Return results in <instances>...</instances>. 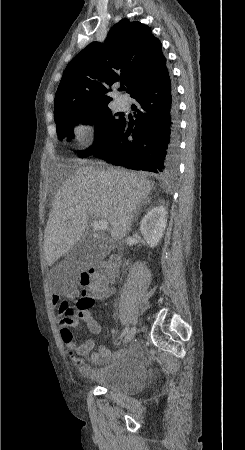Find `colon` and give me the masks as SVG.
<instances>
[{"label":"colon","mask_w":245,"mask_h":450,"mask_svg":"<svg viewBox=\"0 0 245 450\" xmlns=\"http://www.w3.org/2000/svg\"><path fill=\"white\" fill-rule=\"evenodd\" d=\"M118 261L115 257L109 261H98L90 268L83 270L78 278L79 286L83 297L78 302V310H87L92 307V300L89 297L94 287L105 288L116 278ZM74 304L69 300H64L59 308V326L62 337L65 340L72 339V326L76 323L79 315Z\"/></svg>","instance_id":"1"}]
</instances>
